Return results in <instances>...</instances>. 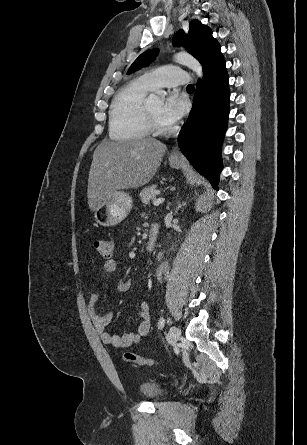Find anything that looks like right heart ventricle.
I'll return each instance as SVG.
<instances>
[{"instance_id":"right-heart-ventricle-1","label":"right heart ventricle","mask_w":307,"mask_h":445,"mask_svg":"<svg viewBox=\"0 0 307 445\" xmlns=\"http://www.w3.org/2000/svg\"><path fill=\"white\" fill-rule=\"evenodd\" d=\"M152 86L146 79L138 80L121 90L114 98L109 113V134L112 139L148 140L150 132L144 104Z\"/></svg>"}]
</instances>
